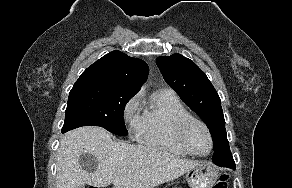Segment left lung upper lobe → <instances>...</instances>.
<instances>
[{"instance_id":"1","label":"left lung upper lobe","mask_w":292,"mask_h":188,"mask_svg":"<svg viewBox=\"0 0 292 188\" xmlns=\"http://www.w3.org/2000/svg\"><path fill=\"white\" fill-rule=\"evenodd\" d=\"M156 63L167 84L209 128L214 146L213 162L228 161L232 154L226 136L221 101L205 73L192 60L180 54L160 56Z\"/></svg>"}]
</instances>
